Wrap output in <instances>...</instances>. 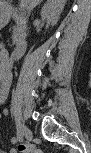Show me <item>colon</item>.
<instances>
[{
  "label": "colon",
  "instance_id": "colon-1",
  "mask_svg": "<svg viewBox=\"0 0 91 153\" xmlns=\"http://www.w3.org/2000/svg\"><path fill=\"white\" fill-rule=\"evenodd\" d=\"M17 152L18 153H37L38 150L35 148L33 145H19L17 147Z\"/></svg>",
  "mask_w": 91,
  "mask_h": 153
}]
</instances>
